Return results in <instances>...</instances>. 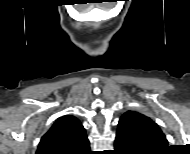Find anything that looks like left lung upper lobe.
I'll list each match as a JSON object with an SVG mask.
<instances>
[{"mask_svg": "<svg viewBox=\"0 0 190 154\" xmlns=\"http://www.w3.org/2000/svg\"><path fill=\"white\" fill-rule=\"evenodd\" d=\"M128 114H132L136 117L138 124L141 126V129L149 136L167 143L166 136L152 119L136 111H128L124 113L122 117Z\"/></svg>", "mask_w": 190, "mask_h": 154, "instance_id": "obj_1", "label": "left lung upper lobe"}]
</instances>
